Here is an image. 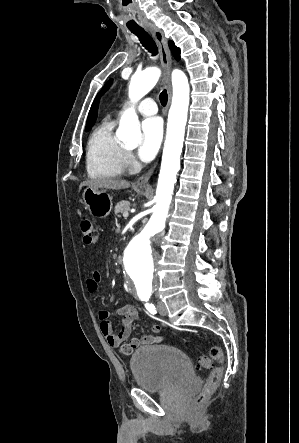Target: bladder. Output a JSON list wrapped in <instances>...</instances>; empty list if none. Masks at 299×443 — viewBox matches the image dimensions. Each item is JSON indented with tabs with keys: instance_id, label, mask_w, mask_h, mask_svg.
Returning <instances> with one entry per match:
<instances>
[{
	"instance_id": "obj_1",
	"label": "bladder",
	"mask_w": 299,
	"mask_h": 443,
	"mask_svg": "<svg viewBox=\"0 0 299 443\" xmlns=\"http://www.w3.org/2000/svg\"><path fill=\"white\" fill-rule=\"evenodd\" d=\"M129 366L134 382L145 390H162L194 378L191 361L185 352L166 344L136 350Z\"/></svg>"
}]
</instances>
